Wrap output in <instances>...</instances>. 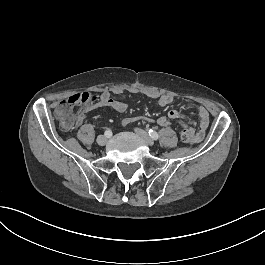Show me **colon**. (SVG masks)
Wrapping results in <instances>:
<instances>
[{
	"instance_id": "obj_1",
	"label": "colon",
	"mask_w": 265,
	"mask_h": 265,
	"mask_svg": "<svg viewBox=\"0 0 265 265\" xmlns=\"http://www.w3.org/2000/svg\"><path fill=\"white\" fill-rule=\"evenodd\" d=\"M96 99V96L93 93H79L77 94H72L70 97H67L64 101L63 104L65 106H59L56 109L57 116L60 120V122L63 125H70L73 121V118L75 116V112L69 108L71 105H74L78 102H93ZM181 140L187 144H191V139L190 135H188L185 130L182 128L181 130Z\"/></svg>"
}]
</instances>
